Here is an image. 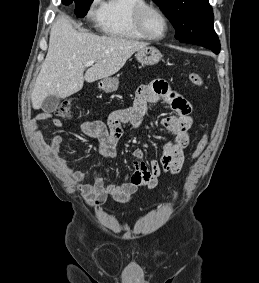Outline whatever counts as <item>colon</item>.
<instances>
[{
    "mask_svg": "<svg viewBox=\"0 0 259 283\" xmlns=\"http://www.w3.org/2000/svg\"><path fill=\"white\" fill-rule=\"evenodd\" d=\"M189 80L195 86L198 87L205 86L202 76L195 71H191L189 73ZM55 114L62 119L71 118L73 115L72 101L68 99L62 101L61 104L58 106V108L55 110ZM206 143H207V139L203 137L197 145L196 155L200 154L204 150Z\"/></svg>",
    "mask_w": 259,
    "mask_h": 283,
    "instance_id": "obj_1",
    "label": "colon"
}]
</instances>
